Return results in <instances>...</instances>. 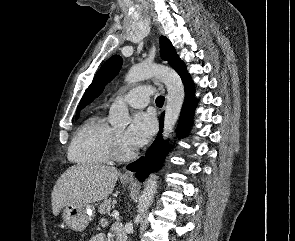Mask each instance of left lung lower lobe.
<instances>
[{
    "label": "left lung lower lobe",
    "instance_id": "left-lung-lower-lobe-1",
    "mask_svg": "<svg viewBox=\"0 0 295 241\" xmlns=\"http://www.w3.org/2000/svg\"><path fill=\"white\" fill-rule=\"evenodd\" d=\"M185 86V103L181 112V121L179 126L180 135H186L189 131L192 114L196 107V100L194 97V85L191 83V78L188 76L184 81ZM164 115L160 119V128L163 126ZM166 146L162 142L161 131L153 144L147 150L145 157H141L137 161L127 166L128 170L136 172V177L143 182L152 170L160 167L161 162L166 153Z\"/></svg>",
    "mask_w": 295,
    "mask_h": 241
}]
</instances>
